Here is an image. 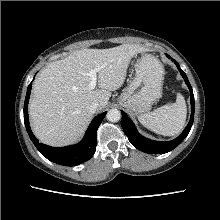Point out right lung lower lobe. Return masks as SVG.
Wrapping results in <instances>:
<instances>
[{
	"instance_id": "right-lung-lower-lobe-1",
	"label": "right lung lower lobe",
	"mask_w": 220,
	"mask_h": 220,
	"mask_svg": "<svg viewBox=\"0 0 220 220\" xmlns=\"http://www.w3.org/2000/svg\"><path fill=\"white\" fill-rule=\"evenodd\" d=\"M31 87L32 84L28 86L24 103V123L30 139L39 150V152L48 160L64 166H76L89 160L95 153L97 129L105 117L106 112L99 114L92 120L84 138L76 145L66 147H51L45 144H41L33 135L29 126L28 101L30 98Z\"/></svg>"
}]
</instances>
